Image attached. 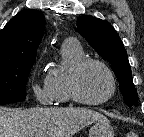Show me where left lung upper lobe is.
<instances>
[{
	"label": "left lung upper lobe",
	"mask_w": 144,
	"mask_h": 137,
	"mask_svg": "<svg viewBox=\"0 0 144 137\" xmlns=\"http://www.w3.org/2000/svg\"><path fill=\"white\" fill-rule=\"evenodd\" d=\"M77 28L95 51L111 63L120 83L125 103L131 107L138 102V94L132 81V73L124 45L116 30L107 21L84 15L78 17Z\"/></svg>",
	"instance_id": "obj_1"
}]
</instances>
